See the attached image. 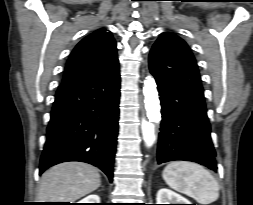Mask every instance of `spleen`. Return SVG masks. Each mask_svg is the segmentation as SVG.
<instances>
[{"label":"spleen","instance_id":"obj_1","mask_svg":"<svg viewBox=\"0 0 253 205\" xmlns=\"http://www.w3.org/2000/svg\"><path fill=\"white\" fill-rule=\"evenodd\" d=\"M163 179L174 190L210 204L219 197V184L203 166L187 161H174L163 170Z\"/></svg>","mask_w":253,"mask_h":205}]
</instances>
